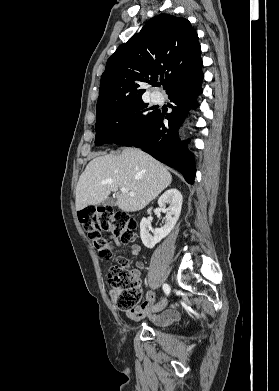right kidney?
I'll return each instance as SVG.
<instances>
[{
  "label": "right kidney",
  "mask_w": 279,
  "mask_h": 391,
  "mask_svg": "<svg viewBox=\"0 0 279 391\" xmlns=\"http://www.w3.org/2000/svg\"><path fill=\"white\" fill-rule=\"evenodd\" d=\"M183 197L176 188H171L165 191L158 199L159 207L163 208L166 204L169 205L167 209H164L166 214L165 223L161 228L152 230L151 235L149 231L152 229L151 222L147 218H143L140 222V236L145 247L152 249L157 243L165 238L174 228L177 223L181 208ZM152 208L148 209V214L151 215Z\"/></svg>",
  "instance_id": "ca27d5eb"
}]
</instances>
